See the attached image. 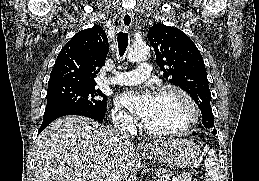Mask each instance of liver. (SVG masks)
Listing matches in <instances>:
<instances>
[{"label": "liver", "instance_id": "liver-1", "mask_svg": "<svg viewBox=\"0 0 259 181\" xmlns=\"http://www.w3.org/2000/svg\"><path fill=\"white\" fill-rule=\"evenodd\" d=\"M34 159V181H106L114 169L126 178L137 155L114 129L83 116H65L39 135Z\"/></svg>", "mask_w": 259, "mask_h": 181}]
</instances>
